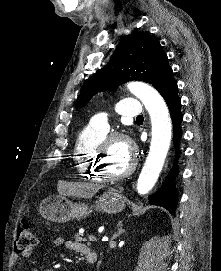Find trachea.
I'll return each mask as SVG.
<instances>
[{
  "instance_id": "3493384b",
  "label": "trachea",
  "mask_w": 221,
  "mask_h": 271,
  "mask_svg": "<svg viewBox=\"0 0 221 271\" xmlns=\"http://www.w3.org/2000/svg\"><path fill=\"white\" fill-rule=\"evenodd\" d=\"M136 119H144V117L142 115H138Z\"/></svg>"
}]
</instances>
